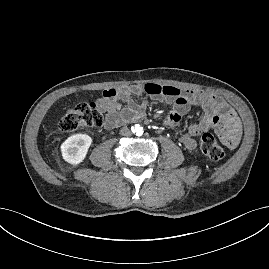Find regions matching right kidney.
I'll return each mask as SVG.
<instances>
[{
	"label": "right kidney",
	"instance_id": "right-kidney-1",
	"mask_svg": "<svg viewBox=\"0 0 269 269\" xmlns=\"http://www.w3.org/2000/svg\"><path fill=\"white\" fill-rule=\"evenodd\" d=\"M92 138L87 134H74L63 142L61 152L63 159L76 166L86 158Z\"/></svg>",
	"mask_w": 269,
	"mask_h": 269
}]
</instances>
